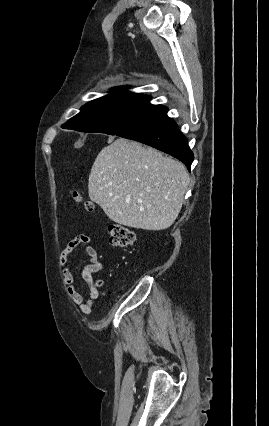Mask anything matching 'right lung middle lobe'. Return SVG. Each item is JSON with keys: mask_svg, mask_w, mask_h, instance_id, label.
I'll use <instances>...</instances> for the list:
<instances>
[{"mask_svg": "<svg viewBox=\"0 0 269 426\" xmlns=\"http://www.w3.org/2000/svg\"><path fill=\"white\" fill-rule=\"evenodd\" d=\"M151 97L135 93H112L84 105L64 124L68 129L110 135L124 133L142 122L156 107Z\"/></svg>", "mask_w": 269, "mask_h": 426, "instance_id": "1", "label": "right lung middle lobe"}]
</instances>
